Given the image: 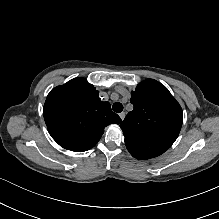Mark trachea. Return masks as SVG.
<instances>
[{"mask_svg":"<svg viewBox=\"0 0 219 219\" xmlns=\"http://www.w3.org/2000/svg\"><path fill=\"white\" fill-rule=\"evenodd\" d=\"M112 108L114 112L120 113L123 110V105L120 102H115Z\"/></svg>","mask_w":219,"mask_h":219,"instance_id":"1","label":"trachea"}]
</instances>
